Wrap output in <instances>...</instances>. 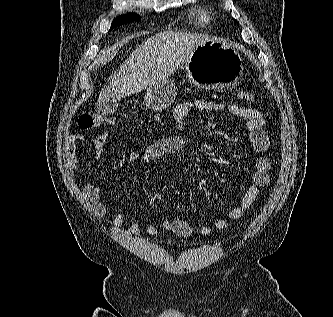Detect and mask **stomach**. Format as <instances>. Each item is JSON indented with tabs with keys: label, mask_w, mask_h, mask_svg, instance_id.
Returning <instances> with one entry per match:
<instances>
[{
	"label": "stomach",
	"mask_w": 333,
	"mask_h": 317,
	"mask_svg": "<svg viewBox=\"0 0 333 317\" xmlns=\"http://www.w3.org/2000/svg\"><path fill=\"white\" fill-rule=\"evenodd\" d=\"M185 69L190 82L196 87L223 92L239 84L244 66L234 47L211 39L197 46L185 62ZM175 97V84L170 79H164L148 87L144 102L148 109L159 111L169 107Z\"/></svg>",
	"instance_id": "1"
}]
</instances>
